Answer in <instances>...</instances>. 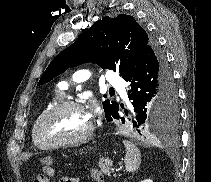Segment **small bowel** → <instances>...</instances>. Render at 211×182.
I'll use <instances>...</instances> for the list:
<instances>
[{"mask_svg": "<svg viewBox=\"0 0 211 182\" xmlns=\"http://www.w3.org/2000/svg\"><path fill=\"white\" fill-rule=\"evenodd\" d=\"M60 182H79V180L77 178L69 177V178H63Z\"/></svg>", "mask_w": 211, "mask_h": 182, "instance_id": "small-bowel-1", "label": "small bowel"}]
</instances>
